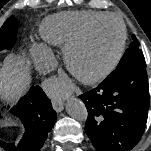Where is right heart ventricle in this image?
Instances as JSON below:
<instances>
[{
	"mask_svg": "<svg viewBox=\"0 0 151 151\" xmlns=\"http://www.w3.org/2000/svg\"><path fill=\"white\" fill-rule=\"evenodd\" d=\"M107 13L81 10L54 14L40 27L42 37L53 45H66L78 37L93 21Z\"/></svg>",
	"mask_w": 151,
	"mask_h": 151,
	"instance_id": "1",
	"label": "right heart ventricle"
}]
</instances>
